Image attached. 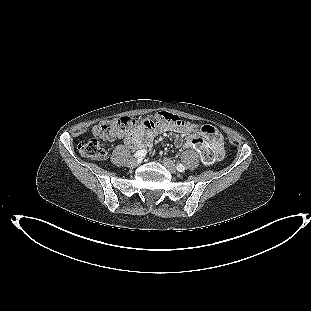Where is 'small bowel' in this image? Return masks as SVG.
Returning a JSON list of instances; mask_svg holds the SVG:
<instances>
[{"mask_svg":"<svg viewBox=\"0 0 311 311\" xmlns=\"http://www.w3.org/2000/svg\"><path fill=\"white\" fill-rule=\"evenodd\" d=\"M144 121H150L145 119ZM191 128L189 127H182L176 126L171 124H160L157 125L155 123L148 124V125H140L130 134L125 136V143L134 149H141L145 150L150 149L151 143L158 135L165 133V132H176V133H185ZM204 131L210 138V142L212 147L217 152V157L220 156V150L223 149V140L220 132L212 125H205L203 126ZM174 143L177 147L192 146L191 141H183L181 138H176Z\"/></svg>","mask_w":311,"mask_h":311,"instance_id":"small-bowel-1","label":"small bowel"}]
</instances>
